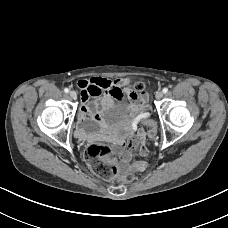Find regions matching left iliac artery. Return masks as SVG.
<instances>
[{
  "label": "left iliac artery",
  "mask_w": 228,
  "mask_h": 228,
  "mask_svg": "<svg viewBox=\"0 0 228 228\" xmlns=\"http://www.w3.org/2000/svg\"><path fill=\"white\" fill-rule=\"evenodd\" d=\"M162 91H163V93H167L168 92V88L165 87V88H163Z\"/></svg>",
  "instance_id": "44dca946"
}]
</instances>
